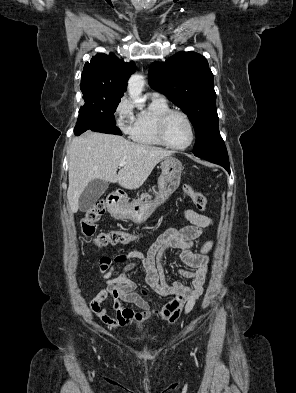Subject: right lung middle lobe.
Here are the masks:
<instances>
[{
  "instance_id": "obj_1",
  "label": "right lung middle lobe",
  "mask_w": 296,
  "mask_h": 393,
  "mask_svg": "<svg viewBox=\"0 0 296 393\" xmlns=\"http://www.w3.org/2000/svg\"><path fill=\"white\" fill-rule=\"evenodd\" d=\"M121 100V97L85 99V104L79 110V122L87 120L102 123L108 126H115L114 113Z\"/></svg>"
}]
</instances>
